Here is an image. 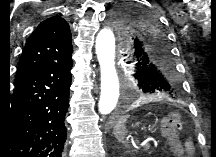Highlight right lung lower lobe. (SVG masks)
I'll return each instance as SVG.
<instances>
[{"mask_svg":"<svg viewBox=\"0 0 216 157\" xmlns=\"http://www.w3.org/2000/svg\"><path fill=\"white\" fill-rule=\"evenodd\" d=\"M72 58L53 61L15 82L0 129V156L64 157Z\"/></svg>","mask_w":216,"mask_h":157,"instance_id":"right-lung-lower-lobe-1","label":"right lung lower lobe"}]
</instances>
